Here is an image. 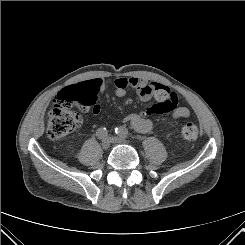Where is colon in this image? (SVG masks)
Returning <instances> with one entry per match:
<instances>
[{"mask_svg": "<svg viewBox=\"0 0 245 245\" xmlns=\"http://www.w3.org/2000/svg\"><path fill=\"white\" fill-rule=\"evenodd\" d=\"M99 94V85L95 81H84L61 90L54 107L48 115L47 134L52 140H61L75 131L81 124V116L73 110V106L82 109L92 107ZM182 136L186 140H194L198 136L195 123H186L182 128Z\"/></svg>", "mask_w": 245, "mask_h": 245, "instance_id": "5ec220e1", "label": "colon"}]
</instances>
